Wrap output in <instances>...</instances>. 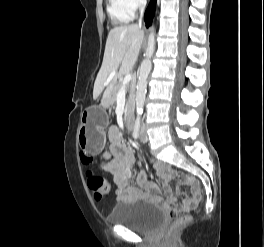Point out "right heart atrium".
<instances>
[{"mask_svg": "<svg viewBox=\"0 0 264 247\" xmlns=\"http://www.w3.org/2000/svg\"><path fill=\"white\" fill-rule=\"evenodd\" d=\"M119 2L132 15L145 5V0H119Z\"/></svg>", "mask_w": 264, "mask_h": 247, "instance_id": "obj_1", "label": "right heart atrium"}]
</instances>
